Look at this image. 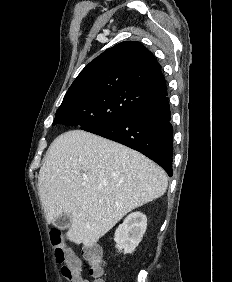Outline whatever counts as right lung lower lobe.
<instances>
[{
    "label": "right lung lower lobe",
    "instance_id": "98d812e1",
    "mask_svg": "<svg viewBox=\"0 0 232 282\" xmlns=\"http://www.w3.org/2000/svg\"><path fill=\"white\" fill-rule=\"evenodd\" d=\"M167 93L139 113L112 124L83 129L137 150L159 164L171 177L173 127Z\"/></svg>",
    "mask_w": 232,
    "mask_h": 282
}]
</instances>
